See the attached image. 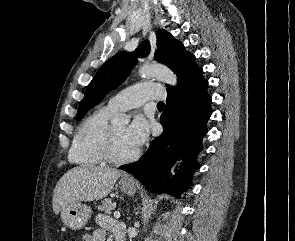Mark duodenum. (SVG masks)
Returning <instances> with one entry per match:
<instances>
[{"label": "duodenum", "instance_id": "1", "mask_svg": "<svg viewBox=\"0 0 295 241\" xmlns=\"http://www.w3.org/2000/svg\"><path fill=\"white\" fill-rule=\"evenodd\" d=\"M117 241H124L123 235L118 236Z\"/></svg>", "mask_w": 295, "mask_h": 241}]
</instances>
